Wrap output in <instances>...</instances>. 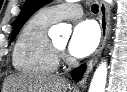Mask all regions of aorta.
<instances>
[{
	"mask_svg": "<svg viewBox=\"0 0 127 92\" xmlns=\"http://www.w3.org/2000/svg\"><path fill=\"white\" fill-rule=\"evenodd\" d=\"M108 3H112V0H107ZM51 31L58 35H69L71 28L65 23H60L51 28ZM107 79V63L102 62L96 69L90 87L89 92H105V85Z\"/></svg>",
	"mask_w": 127,
	"mask_h": 92,
	"instance_id": "aorta-1",
	"label": "aorta"
}]
</instances>
